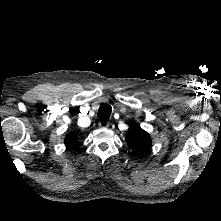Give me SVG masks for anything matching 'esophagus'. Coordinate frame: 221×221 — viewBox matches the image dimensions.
Here are the masks:
<instances>
[{
    "mask_svg": "<svg viewBox=\"0 0 221 221\" xmlns=\"http://www.w3.org/2000/svg\"><path fill=\"white\" fill-rule=\"evenodd\" d=\"M99 126L101 128H107L109 126V122L108 121H100Z\"/></svg>",
    "mask_w": 221,
    "mask_h": 221,
    "instance_id": "esophagus-1",
    "label": "esophagus"
}]
</instances>
